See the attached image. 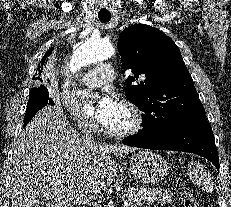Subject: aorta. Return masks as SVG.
Returning <instances> with one entry per match:
<instances>
[{
	"instance_id": "1",
	"label": "aorta",
	"mask_w": 231,
	"mask_h": 207,
	"mask_svg": "<svg viewBox=\"0 0 231 207\" xmlns=\"http://www.w3.org/2000/svg\"><path fill=\"white\" fill-rule=\"evenodd\" d=\"M115 48L103 39L90 38L79 45L69 62V70L76 73L92 63L107 60L115 55ZM81 93L80 91L78 92ZM84 91L82 94L84 95ZM89 109L88 106H86Z\"/></svg>"
}]
</instances>
